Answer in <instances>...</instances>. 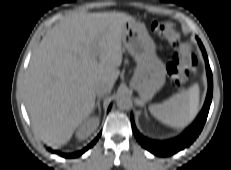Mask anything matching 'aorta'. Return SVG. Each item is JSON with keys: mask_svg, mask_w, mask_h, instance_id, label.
<instances>
[{"mask_svg": "<svg viewBox=\"0 0 231 170\" xmlns=\"http://www.w3.org/2000/svg\"><path fill=\"white\" fill-rule=\"evenodd\" d=\"M117 106L123 110H129L132 107V100L126 94H121L117 97Z\"/></svg>", "mask_w": 231, "mask_h": 170, "instance_id": "762f6f07", "label": "aorta"}]
</instances>
